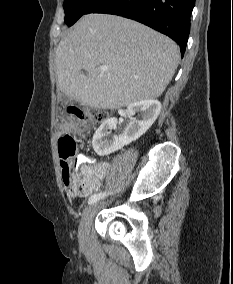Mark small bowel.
Listing matches in <instances>:
<instances>
[{"label":"small bowel","instance_id":"obj_1","mask_svg":"<svg viewBox=\"0 0 233 284\" xmlns=\"http://www.w3.org/2000/svg\"><path fill=\"white\" fill-rule=\"evenodd\" d=\"M79 135L83 137L81 133ZM76 163L81 167L83 172L90 174L92 177L93 187L90 193L96 191L102 184L108 165L102 162H95L93 159L83 154L77 156Z\"/></svg>","mask_w":233,"mask_h":284}]
</instances>
